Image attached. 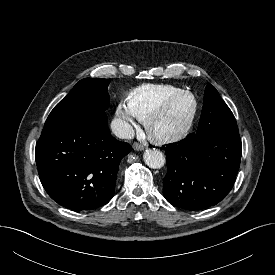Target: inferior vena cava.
<instances>
[{"instance_id":"inferior-vena-cava-1","label":"inferior vena cava","mask_w":275,"mask_h":275,"mask_svg":"<svg viewBox=\"0 0 275 275\" xmlns=\"http://www.w3.org/2000/svg\"><path fill=\"white\" fill-rule=\"evenodd\" d=\"M111 129L121 139H133L135 135L133 127L122 119H114L111 123Z\"/></svg>"}]
</instances>
